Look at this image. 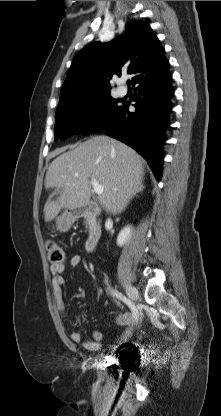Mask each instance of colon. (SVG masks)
<instances>
[{
	"mask_svg": "<svg viewBox=\"0 0 221 416\" xmlns=\"http://www.w3.org/2000/svg\"><path fill=\"white\" fill-rule=\"evenodd\" d=\"M48 258L52 264H61L65 260V252L57 243L49 241L47 243Z\"/></svg>",
	"mask_w": 221,
	"mask_h": 416,
	"instance_id": "5ec220e1",
	"label": "colon"
}]
</instances>
